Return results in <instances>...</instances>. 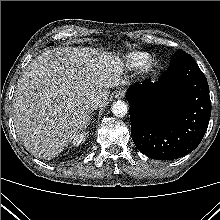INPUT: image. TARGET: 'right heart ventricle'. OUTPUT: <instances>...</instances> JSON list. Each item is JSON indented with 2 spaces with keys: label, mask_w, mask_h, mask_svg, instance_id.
<instances>
[{
  "label": "right heart ventricle",
  "mask_w": 220,
  "mask_h": 220,
  "mask_svg": "<svg viewBox=\"0 0 220 220\" xmlns=\"http://www.w3.org/2000/svg\"><path fill=\"white\" fill-rule=\"evenodd\" d=\"M145 59L144 53H131L127 56V63L131 67L138 66Z\"/></svg>",
  "instance_id": "obj_1"
}]
</instances>
